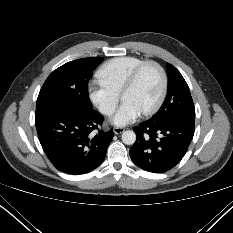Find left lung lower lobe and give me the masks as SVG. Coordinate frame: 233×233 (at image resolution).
Listing matches in <instances>:
<instances>
[{
    "label": "left lung lower lobe",
    "instance_id": "1",
    "mask_svg": "<svg viewBox=\"0 0 233 233\" xmlns=\"http://www.w3.org/2000/svg\"><path fill=\"white\" fill-rule=\"evenodd\" d=\"M194 120L190 117H177L160 123L147 120L136 126V141L130 150L132 161L153 173L175 167L193 138Z\"/></svg>",
    "mask_w": 233,
    "mask_h": 233
}]
</instances>
